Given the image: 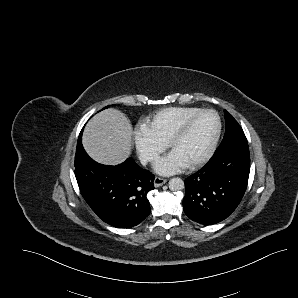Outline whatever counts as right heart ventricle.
<instances>
[{"instance_id": "right-heart-ventricle-1", "label": "right heart ventricle", "mask_w": 298, "mask_h": 298, "mask_svg": "<svg viewBox=\"0 0 298 298\" xmlns=\"http://www.w3.org/2000/svg\"><path fill=\"white\" fill-rule=\"evenodd\" d=\"M202 110L199 107H169L156 112L149 120L150 131L166 140L172 129L185 118Z\"/></svg>"}]
</instances>
